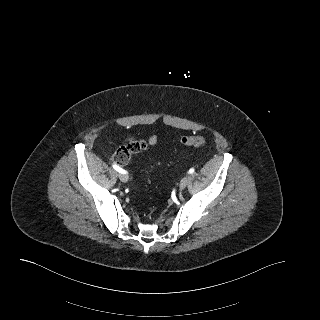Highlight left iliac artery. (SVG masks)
Listing matches in <instances>:
<instances>
[{
  "mask_svg": "<svg viewBox=\"0 0 320 320\" xmlns=\"http://www.w3.org/2000/svg\"><path fill=\"white\" fill-rule=\"evenodd\" d=\"M193 172H194V169L191 168V169L189 170V173L192 174Z\"/></svg>",
  "mask_w": 320,
  "mask_h": 320,
  "instance_id": "left-iliac-artery-1",
  "label": "left iliac artery"
}]
</instances>
